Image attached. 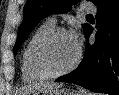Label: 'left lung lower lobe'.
<instances>
[{
    "mask_svg": "<svg viewBox=\"0 0 119 95\" xmlns=\"http://www.w3.org/2000/svg\"><path fill=\"white\" fill-rule=\"evenodd\" d=\"M95 42L88 44L93 27L85 28V56L76 70L59 77L97 93L119 95V0H102L97 5Z\"/></svg>",
    "mask_w": 119,
    "mask_h": 95,
    "instance_id": "1",
    "label": "left lung lower lobe"
}]
</instances>
